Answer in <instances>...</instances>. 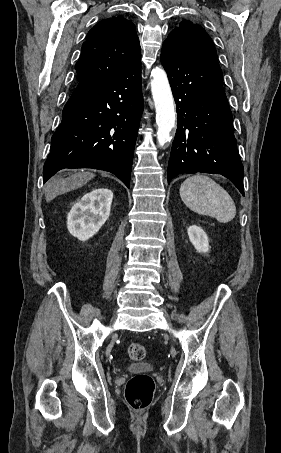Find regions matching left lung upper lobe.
<instances>
[{"label":"left lung upper lobe","mask_w":281,"mask_h":453,"mask_svg":"<svg viewBox=\"0 0 281 453\" xmlns=\"http://www.w3.org/2000/svg\"><path fill=\"white\" fill-rule=\"evenodd\" d=\"M164 43L171 45L181 55L189 58L217 60L211 38L201 26L191 21H182Z\"/></svg>","instance_id":"left-lung-upper-lobe-1"}]
</instances>
